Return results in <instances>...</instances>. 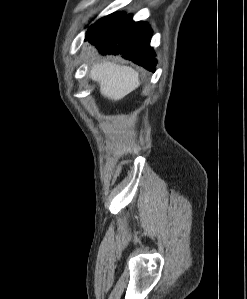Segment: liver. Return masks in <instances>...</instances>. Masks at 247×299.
Listing matches in <instances>:
<instances>
[{
	"mask_svg": "<svg viewBox=\"0 0 247 299\" xmlns=\"http://www.w3.org/2000/svg\"><path fill=\"white\" fill-rule=\"evenodd\" d=\"M91 61L90 78L99 83L100 93L112 101L122 99L140 85L139 73L129 66L94 57Z\"/></svg>",
	"mask_w": 247,
	"mask_h": 299,
	"instance_id": "liver-1",
	"label": "liver"
}]
</instances>
